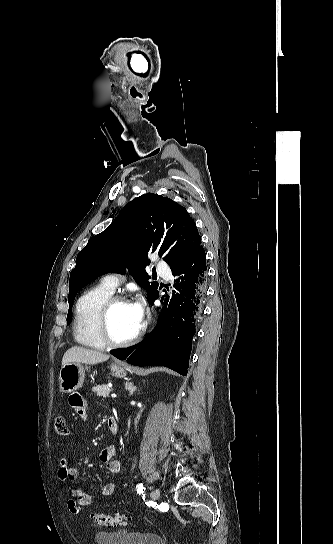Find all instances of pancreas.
I'll use <instances>...</instances> for the list:
<instances>
[{"instance_id": "obj_1", "label": "pancreas", "mask_w": 333, "mask_h": 544, "mask_svg": "<svg viewBox=\"0 0 333 544\" xmlns=\"http://www.w3.org/2000/svg\"><path fill=\"white\" fill-rule=\"evenodd\" d=\"M92 391H93L94 393H96L97 396L106 398V397L109 396V394H110V392H111L112 390H111V388H110L108 385L103 384V385H96V386H94V387L92 388Z\"/></svg>"}]
</instances>
